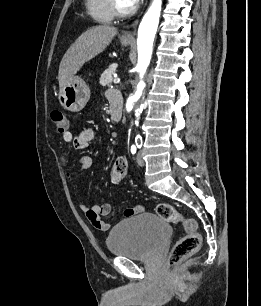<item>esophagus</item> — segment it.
<instances>
[{
    "mask_svg": "<svg viewBox=\"0 0 261 306\" xmlns=\"http://www.w3.org/2000/svg\"><path fill=\"white\" fill-rule=\"evenodd\" d=\"M138 20L134 21L131 25V27L126 30L122 35H121V39L122 40H126V41H132L134 39V31L133 29L135 28V26L137 25Z\"/></svg>",
    "mask_w": 261,
    "mask_h": 306,
    "instance_id": "esophagus-1",
    "label": "esophagus"
}]
</instances>
